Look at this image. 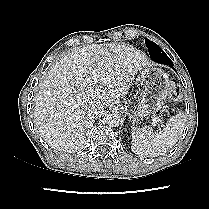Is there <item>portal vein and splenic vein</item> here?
Here are the masks:
<instances>
[{"mask_svg": "<svg viewBox=\"0 0 209 209\" xmlns=\"http://www.w3.org/2000/svg\"><path fill=\"white\" fill-rule=\"evenodd\" d=\"M98 82V76L96 75V73L93 74V84H97ZM153 126H157L158 123H161L162 124V120L158 119L157 117H154L153 119Z\"/></svg>", "mask_w": 209, "mask_h": 209, "instance_id": "obj_1", "label": "portal vein and splenic vein"}]
</instances>
